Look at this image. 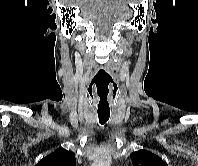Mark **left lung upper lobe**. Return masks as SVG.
<instances>
[{
  "label": "left lung upper lobe",
  "mask_w": 198,
  "mask_h": 166,
  "mask_svg": "<svg viewBox=\"0 0 198 166\" xmlns=\"http://www.w3.org/2000/svg\"><path fill=\"white\" fill-rule=\"evenodd\" d=\"M130 158L133 166H167L161 158L143 149L132 152Z\"/></svg>",
  "instance_id": "obj_1"
}]
</instances>
